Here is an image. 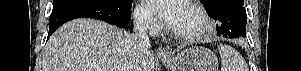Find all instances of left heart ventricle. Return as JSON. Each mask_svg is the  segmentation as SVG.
Here are the masks:
<instances>
[{
	"label": "left heart ventricle",
	"mask_w": 301,
	"mask_h": 71,
	"mask_svg": "<svg viewBox=\"0 0 301 71\" xmlns=\"http://www.w3.org/2000/svg\"><path fill=\"white\" fill-rule=\"evenodd\" d=\"M200 20L197 14L185 4H182L179 19L173 28L180 32H194L199 27Z\"/></svg>",
	"instance_id": "1"
}]
</instances>
